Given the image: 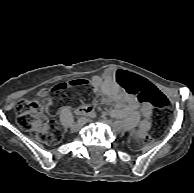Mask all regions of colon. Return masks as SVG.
Returning a JSON list of instances; mask_svg holds the SVG:
<instances>
[{"mask_svg":"<svg viewBox=\"0 0 194 193\" xmlns=\"http://www.w3.org/2000/svg\"><path fill=\"white\" fill-rule=\"evenodd\" d=\"M117 81L126 90L136 95L142 105L152 104L164 113L170 111V102L163 94L156 91L148 81L136 77L126 71H119L117 73ZM89 83V80L78 79L68 83L59 84L51 89L42 90L35 97L20 100L15 105L18 126L25 131L33 133L42 143H59L62 139V132L58 125L47 117L46 103L50 98L57 96L66 88H74L81 92H85ZM137 144V139L131 141L133 147L137 146Z\"/></svg>","mask_w":194,"mask_h":193,"instance_id":"colon-1","label":"colon"}]
</instances>
